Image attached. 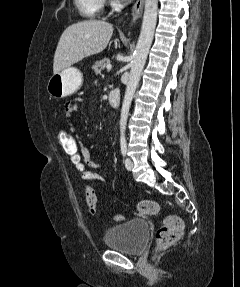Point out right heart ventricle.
<instances>
[{
	"label": "right heart ventricle",
	"instance_id": "e07e8e85",
	"mask_svg": "<svg viewBox=\"0 0 240 287\" xmlns=\"http://www.w3.org/2000/svg\"><path fill=\"white\" fill-rule=\"evenodd\" d=\"M80 14L85 18L98 17L103 10L104 0H74Z\"/></svg>",
	"mask_w": 240,
	"mask_h": 287
}]
</instances>
